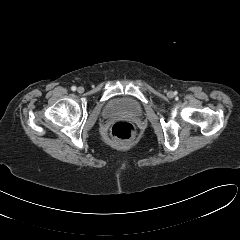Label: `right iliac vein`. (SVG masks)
Listing matches in <instances>:
<instances>
[{
    "mask_svg": "<svg viewBox=\"0 0 240 240\" xmlns=\"http://www.w3.org/2000/svg\"><path fill=\"white\" fill-rule=\"evenodd\" d=\"M77 91H78L79 93H83V92H84V88H83V87H78Z\"/></svg>",
    "mask_w": 240,
    "mask_h": 240,
    "instance_id": "63e3f726",
    "label": "right iliac vein"
}]
</instances>
